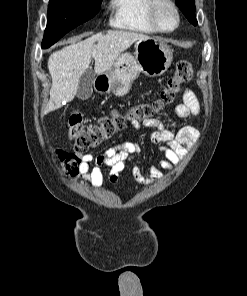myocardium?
Segmentation results:
<instances>
[{
	"instance_id": "1",
	"label": "myocardium",
	"mask_w": 247,
	"mask_h": 296,
	"mask_svg": "<svg viewBox=\"0 0 247 296\" xmlns=\"http://www.w3.org/2000/svg\"><path fill=\"white\" fill-rule=\"evenodd\" d=\"M162 5L169 6L172 9V11L174 12L175 25L170 29H164L160 25L159 18H158V10H159L160 6H162ZM148 16H149V19H150L152 25L154 26V28L158 32L171 33L173 31H175L180 25L179 9L173 0H151L149 8H148Z\"/></svg>"
}]
</instances>
